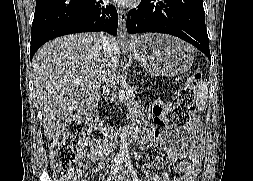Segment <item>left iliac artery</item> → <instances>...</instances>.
<instances>
[{"mask_svg":"<svg viewBox=\"0 0 253 181\" xmlns=\"http://www.w3.org/2000/svg\"><path fill=\"white\" fill-rule=\"evenodd\" d=\"M126 166L130 169V172L132 173L133 181H139L136 172L134 169H132L131 161L128 159L126 160Z\"/></svg>","mask_w":253,"mask_h":181,"instance_id":"obj_1","label":"left iliac artery"}]
</instances>
